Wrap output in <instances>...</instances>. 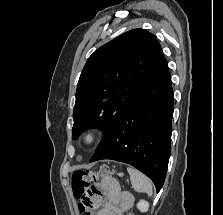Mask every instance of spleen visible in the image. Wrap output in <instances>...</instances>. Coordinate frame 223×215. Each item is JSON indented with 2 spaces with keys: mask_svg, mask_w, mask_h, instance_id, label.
I'll list each match as a JSON object with an SVG mask.
<instances>
[{
  "mask_svg": "<svg viewBox=\"0 0 223 215\" xmlns=\"http://www.w3.org/2000/svg\"><path fill=\"white\" fill-rule=\"evenodd\" d=\"M127 171L130 173L132 187H134L135 191H146L148 195H152L153 189L149 177H146L138 169H133V167H127Z\"/></svg>",
  "mask_w": 223,
  "mask_h": 215,
  "instance_id": "1",
  "label": "spleen"
}]
</instances>
